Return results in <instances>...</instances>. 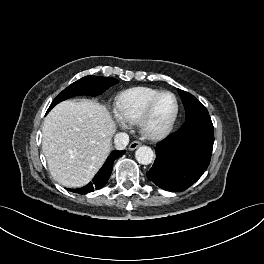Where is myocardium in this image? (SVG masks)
<instances>
[{
	"label": "myocardium",
	"mask_w": 264,
	"mask_h": 264,
	"mask_svg": "<svg viewBox=\"0 0 264 264\" xmlns=\"http://www.w3.org/2000/svg\"><path fill=\"white\" fill-rule=\"evenodd\" d=\"M165 95H171L175 101V111L170 118V120L161 128L159 129H151L149 127L150 120L152 118L155 106L157 102ZM179 113V101L176 95L170 91H162L157 94L154 98L150 100L148 105L146 106L144 112L142 113L140 119L138 120V127L141 134L150 140H159L167 136L171 130L173 129L175 122L177 120Z\"/></svg>",
	"instance_id": "1"
}]
</instances>
